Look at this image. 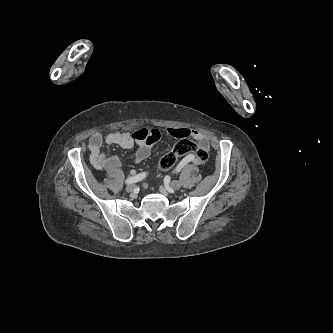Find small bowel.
I'll return each mask as SVG.
<instances>
[{
  "label": "small bowel",
  "instance_id": "1",
  "mask_svg": "<svg viewBox=\"0 0 333 333\" xmlns=\"http://www.w3.org/2000/svg\"><path fill=\"white\" fill-rule=\"evenodd\" d=\"M165 132L174 138H194L200 147L208 150L209 139L201 132L188 128H167ZM161 137L158 129H140L133 133L112 132L103 137L100 133H93L89 137L88 149L90 151V162L97 170L115 172L119 167V160L116 156H108L101 151L102 144L118 145L124 149H131L137 146L135 161L141 163L151 154V145ZM195 162L194 156L189 155L184 163Z\"/></svg>",
  "mask_w": 333,
  "mask_h": 333
}]
</instances>
